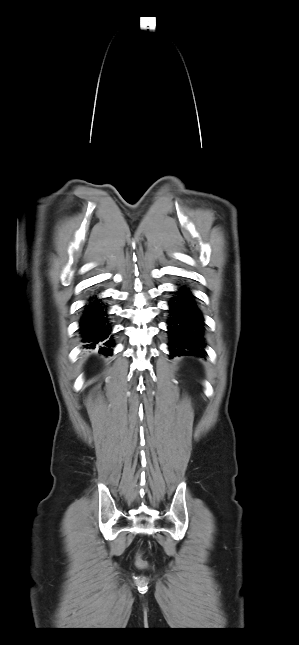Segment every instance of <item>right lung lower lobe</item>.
I'll return each instance as SVG.
<instances>
[{
	"label": "right lung lower lobe",
	"instance_id": "98d812e1",
	"mask_svg": "<svg viewBox=\"0 0 299 645\" xmlns=\"http://www.w3.org/2000/svg\"><path fill=\"white\" fill-rule=\"evenodd\" d=\"M107 305L97 296L90 297L84 306L80 320V332L85 348L99 346V352L108 356L112 354V327L109 322Z\"/></svg>",
	"mask_w": 299,
	"mask_h": 645
}]
</instances>
